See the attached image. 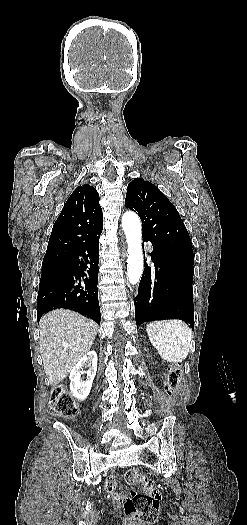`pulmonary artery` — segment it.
I'll list each match as a JSON object with an SVG mask.
<instances>
[{"instance_id":"1","label":"pulmonary artery","mask_w":247,"mask_h":525,"mask_svg":"<svg viewBox=\"0 0 247 525\" xmlns=\"http://www.w3.org/2000/svg\"><path fill=\"white\" fill-rule=\"evenodd\" d=\"M147 251H148L149 253H152V247H151V246L148 247V248H147ZM151 263H152L153 265H156V264L158 263V260H157L156 258H153V259L151 260Z\"/></svg>"}]
</instances>
